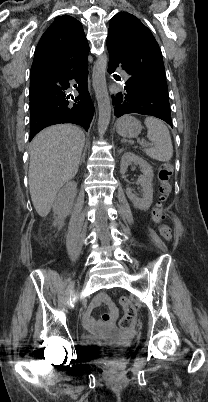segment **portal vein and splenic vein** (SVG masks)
Wrapping results in <instances>:
<instances>
[{"instance_id": "portal-vein-and-splenic-vein-1", "label": "portal vein and splenic vein", "mask_w": 208, "mask_h": 402, "mask_svg": "<svg viewBox=\"0 0 208 402\" xmlns=\"http://www.w3.org/2000/svg\"><path fill=\"white\" fill-rule=\"evenodd\" d=\"M143 144H144V142H143ZM150 146H154V144H150Z\"/></svg>"}]
</instances>
